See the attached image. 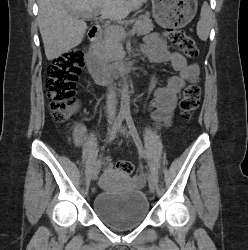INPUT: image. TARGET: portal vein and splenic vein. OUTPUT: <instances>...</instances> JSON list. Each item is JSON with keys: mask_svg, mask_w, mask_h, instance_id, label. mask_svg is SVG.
Wrapping results in <instances>:
<instances>
[{"mask_svg": "<svg viewBox=\"0 0 248 250\" xmlns=\"http://www.w3.org/2000/svg\"><path fill=\"white\" fill-rule=\"evenodd\" d=\"M99 14H100L99 11H95L93 13H84V14H81V16H83L85 18H88V19H92L93 17H97ZM99 19H100V21H104V19H107V18L101 16ZM115 27L116 26H114V25H108V28H110V29H113ZM134 33H135L134 29L129 32V34H134ZM123 34H124V36H126L125 31L123 32Z\"/></svg>", "mask_w": 248, "mask_h": 250, "instance_id": "portal-vein-and-splenic-vein-1", "label": "portal vein and splenic vein"}]
</instances>
